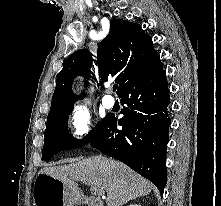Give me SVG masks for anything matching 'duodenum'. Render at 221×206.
Segmentation results:
<instances>
[{
    "mask_svg": "<svg viewBox=\"0 0 221 206\" xmlns=\"http://www.w3.org/2000/svg\"><path fill=\"white\" fill-rule=\"evenodd\" d=\"M86 203L87 206H103V203L95 196H88Z\"/></svg>",
    "mask_w": 221,
    "mask_h": 206,
    "instance_id": "1",
    "label": "duodenum"
}]
</instances>
